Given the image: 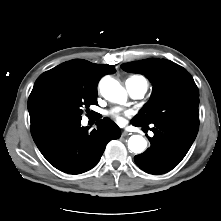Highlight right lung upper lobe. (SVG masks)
I'll use <instances>...</instances> for the list:
<instances>
[{"label": "right lung upper lobe", "mask_w": 221, "mask_h": 221, "mask_svg": "<svg viewBox=\"0 0 221 221\" xmlns=\"http://www.w3.org/2000/svg\"><path fill=\"white\" fill-rule=\"evenodd\" d=\"M115 71L112 65H99L83 59H74L44 72L36 80L28 99L31 125L50 117L48 100L57 90L73 87L97 91L101 77Z\"/></svg>", "instance_id": "cb5924a9"}]
</instances>
